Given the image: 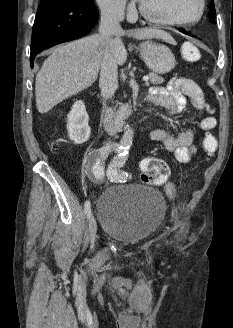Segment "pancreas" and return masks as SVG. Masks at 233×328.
Listing matches in <instances>:
<instances>
[{"label": "pancreas", "mask_w": 233, "mask_h": 328, "mask_svg": "<svg viewBox=\"0 0 233 328\" xmlns=\"http://www.w3.org/2000/svg\"><path fill=\"white\" fill-rule=\"evenodd\" d=\"M148 78L150 80V83L155 84V85H158V84H161L164 82V79L154 72H150L148 74ZM110 112L112 114H115V110H113V109H110Z\"/></svg>", "instance_id": "obj_1"}]
</instances>
